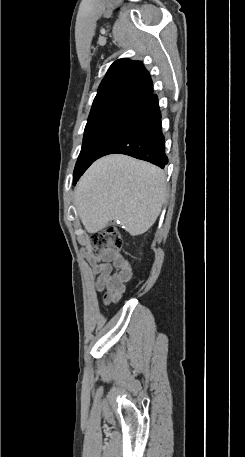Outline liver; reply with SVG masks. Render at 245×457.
Listing matches in <instances>:
<instances>
[{
  "label": "liver",
  "instance_id": "1",
  "mask_svg": "<svg viewBox=\"0 0 245 457\" xmlns=\"http://www.w3.org/2000/svg\"><path fill=\"white\" fill-rule=\"evenodd\" d=\"M164 170L126 154L95 160L75 190V204L87 233H98L109 220H121L132 237L154 224L167 198Z\"/></svg>",
  "mask_w": 245,
  "mask_h": 457
}]
</instances>
